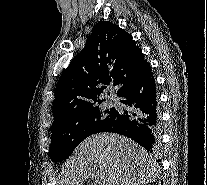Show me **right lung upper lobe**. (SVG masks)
I'll use <instances>...</instances> for the list:
<instances>
[{
    "label": "right lung upper lobe",
    "mask_w": 207,
    "mask_h": 185,
    "mask_svg": "<svg viewBox=\"0 0 207 185\" xmlns=\"http://www.w3.org/2000/svg\"><path fill=\"white\" fill-rule=\"evenodd\" d=\"M151 74L150 64L127 32L108 21L98 22L85 48L61 75L53 103L55 127L64 121L98 108L100 94L113 85L124 84Z\"/></svg>",
    "instance_id": "1"
}]
</instances>
